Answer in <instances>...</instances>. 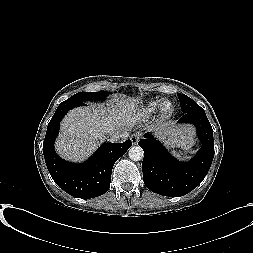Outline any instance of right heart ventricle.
<instances>
[{"instance_id":"right-heart-ventricle-1","label":"right heart ventricle","mask_w":253,"mask_h":253,"mask_svg":"<svg viewBox=\"0 0 253 253\" xmlns=\"http://www.w3.org/2000/svg\"><path fill=\"white\" fill-rule=\"evenodd\" d=\"M159 106V101H152L143 108L144 115H150L156 111Z\"/></svg>"}]
</instances>
